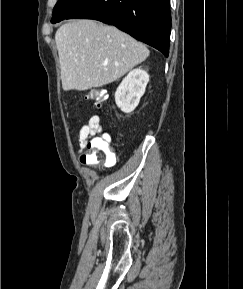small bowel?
<instances>
[{
    "label": "small bowel",
    "mask_w": 243,
    "mask_h": 289,
    "mask_svg": "<svg viewBox=\"0 0 243 289\" xmlns=\"http://www.w3.org/2000/svg\"><path fill=\"white\" fill-rule=\"evenodd\" d=\"M104 134L105 132L100 117L98 115H92L88 123L83 125L78 133L79 153L81 157L85 154L84 150L87 144L95 138L102 137Z\"/></svg>",
    "instance_id": "small-bowel-1"
}]
</instances>
